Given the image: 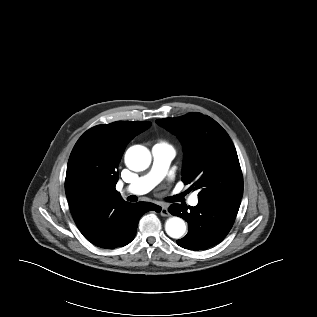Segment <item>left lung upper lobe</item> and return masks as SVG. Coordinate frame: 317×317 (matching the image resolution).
<instances>
[{
	"mask_svg": "<svg viewBox=\"0 0 317 317\" xmlns=\"http://www.w3.org/2000/svg\"><path fill=\"white\" fill-rule=\"evenodd\" d=\"M183 144L182 180L198 197L242 198L243 176L236 149L226 131L201 113L156 121Z\"/></svg>",
	"mask_w": 317,
	"mask_h": 317,
	"instance_id": "left-lung-upper-lobe-1",
	"label": "left lung upper lobe"
}]
</instances>
